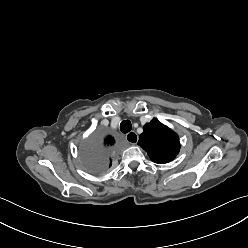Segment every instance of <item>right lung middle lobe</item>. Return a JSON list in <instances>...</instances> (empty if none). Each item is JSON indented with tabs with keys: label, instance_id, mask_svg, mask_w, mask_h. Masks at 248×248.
<instances>
[{
	"label": "right lung middle lobe",
	"instance_id": "dd1d6c3e",
	"mask_svg": "<svg viewBox=\"0 0 248 248\" xmlns=\"http://www.w3.org/2000/svg\"><path fill=\"white\" fill-rule=\"evenodd\" d=\"M80 151L86 171L100 173L108 168L109 151L104 149L98 141L83 143Z\"/></svg>",
	"mask_w": 248,
	"mask_h": 248
}]
</instances>
